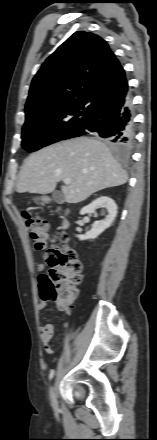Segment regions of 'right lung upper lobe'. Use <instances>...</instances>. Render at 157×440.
Returning a JSON list of instances; mask_svg holds the SVG:
<instances>
[{"instance_id":"cb5924a9","label":"right lung upper lobe","mask_w":157,"mask_h":440,"mask_svg":"<svg viewBox=\"0 0 157 440\" xmlns=\"http://www.w3.org/2000/svg\"><path fill=\"white\" fill-rule=\"evenodd\" d=\"M129 96L125 71L101 37L78 31L41 66L25 105L27 121L85 125Z\"/></svg>"}]
</instances>
